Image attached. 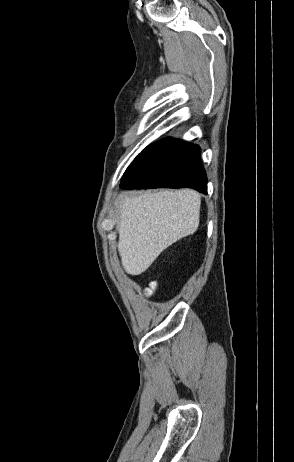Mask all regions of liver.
Masks as SVG:
<instances>
[{"instance_id": "obj_1", "label": "liver", "mask_w": 294, "mask_h": 462, "mask_svg": "<svg viewBox=\"0 0 294 462\" xmlns=\"http://www.w3.org/2000/svg\"><path fill=\"white\" fill-rule=\"evenodd\" d=\"M118 251L124 270L140 275L169 246L199 225L200 195L193 190L120 196Z\"/></svg>"}]
</instances>
